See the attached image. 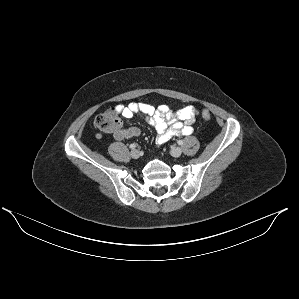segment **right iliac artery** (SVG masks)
<instances>
[{
    "instance_id": "right-iliac-artery-1",
    "label": "right iliac artery",
    "mask_w": 299,
    "mask_h": 299,
    "mask_svg": "<svg viewBox=\"0 0 299 299\" xmlns=\"http://www.w3.org/2000/svg\"><path fill=\"white\" fill-rule=\"evenodd\" d=\"M131 149H134V148H136L137 147V145L136 144H130V146H129Z\"/></svg>"
}]
</instances>
